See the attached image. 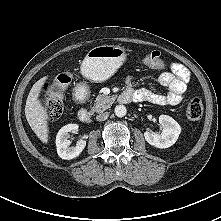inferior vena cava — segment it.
<instances>
[{
    "mask_svg": "<svg viewBox=\"0 0 221 221\" xmlns=\"http://www.w3.org/2000/svg\"><path fill=\"white\" fill-rule=\"evenodd\" d=\"M109 117L108 112L101 113L96 116L97 121H105Z\"/></svg>",
    "mask_w": 221,
    "mask_h": 221,
    "instance_id": "obj_1",
    "label": "inferior vena cava"
}]
</instances>
